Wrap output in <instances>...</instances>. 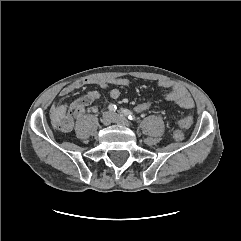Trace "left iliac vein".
Returning <instances> with one entry per match:
<instances>
[{
    "label": "left iliac vein",
    "instance_id": "obj_1",
    "mask_svg": "<svg viewBox=\"0 0 241 241\" xmlns=\"http://www.w3.org/2000/svg\"><path fill=\"white\" fill-rule=\"evenodd\" d=\"M115 123L119 124V125H123V126H130L129 121L122 115L120 114H114V120Z\"/></svg>",
    "mask_w": 241,
    "mask_h": 241
}]
</instances>
